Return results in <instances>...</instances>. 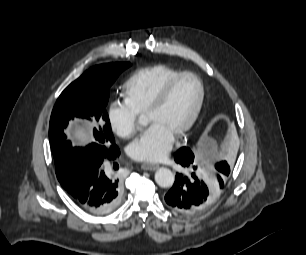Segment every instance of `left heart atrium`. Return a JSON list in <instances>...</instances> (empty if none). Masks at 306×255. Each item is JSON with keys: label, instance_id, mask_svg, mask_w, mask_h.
Listing matches in <instances>:
<instances>
[{"label": "left heart atrium", "instance_id": "obj_1", "mask_svg": "<svg viewBox=\"0 0 306 255\" xmlns=\"http://www.w3.org/2000/svg\"><path fill=\"white\" fill-rule=\"evenodd\" d=\"M174 142V135L159 123L149 128L127 149L128 155L137 161L157 162L166 157Z\"/></svg>", "mask_w": 306, "mask_h": 255}]
</instances>
